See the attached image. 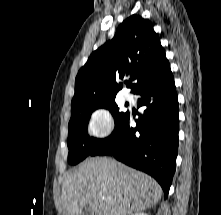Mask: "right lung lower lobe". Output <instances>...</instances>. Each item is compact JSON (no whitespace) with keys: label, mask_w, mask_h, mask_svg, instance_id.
Wrapping results in <instances>:
<instances>
[{"label":"right lung lower lobe","mask_w":221,"mask_h":215,"mask_svg":"<svg viewBox=\"0 0 221 215\" xmlns=\"http://www.w3.org/2000/svg\"><path fill=\"white\" fill-rule=\"evenodd\" d=\"M138 107H146L131 126L127 112L114 132L89 156L111 155L117 160L154 177L165 198L175 173L178 152L179 107L174 78L168 72L138 89Z\"/></svg>","instance_id":"right-lung-lower-lobe-1"}]
</instances>
